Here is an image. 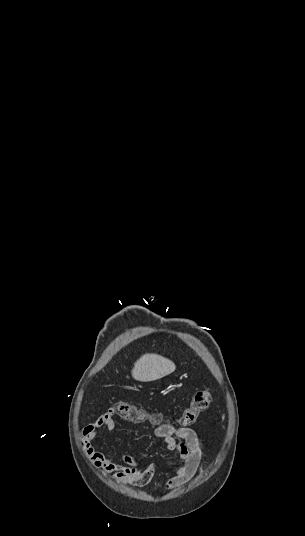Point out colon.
<instances>
[{
  "mask_svg": "<svg viewBox=\"0 0 305 536\" xmlns=\"http://www.w3.org/2000/svg\"><path fill=\"white\" fill-rule=\"evenodd\" d=\"M212 401L208 390H199L195 393L192 402L185 408L181 423L184 426H192L197 422L198 417L208 410ZM115 414L127 416L131 419H141L145 416V410L130 402H119L115 406Z\"/></svg>",
  "mask_w": 305,
  "mask_h": 536,
  "instance_id": "obj_1",
  "label": "colon"
}]
</instances>
